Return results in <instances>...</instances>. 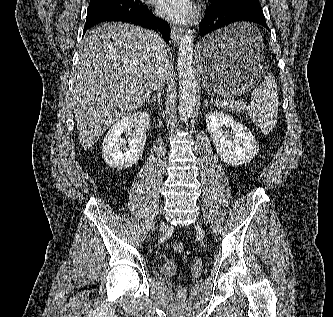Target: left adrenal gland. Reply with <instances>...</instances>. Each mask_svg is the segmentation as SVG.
Returning a JSON list of instances; mask_svg holds the SVG:
<instances>
[{"instance_id":"obj_1","label":"left adrenal gland","mask_w":333,"mask_h":317,"mask_svg":"<svg viewBox=\"0 0 333 317\" xmlns=\"http://www.w3.org/2000/svg\"><path fill=\"white\" fill-rule=\"evenodd\" d=\"M208 106H209L208 99H205V103H204L203 107L205 108V107H208Z\"/></svg>"}]
</instances>
